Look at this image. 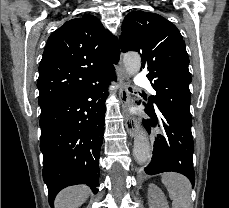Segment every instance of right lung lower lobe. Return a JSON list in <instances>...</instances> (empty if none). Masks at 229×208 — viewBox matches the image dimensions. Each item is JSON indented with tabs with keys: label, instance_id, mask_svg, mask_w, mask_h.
Segmentation results:
<instances>
[{
	"label": "right lung lower lobe",
	"instance_id": "right-lung-lower-lobe-1",
	"mask_svg": "<svg viewBox=\"0 0 229 208\" xmlns=\"http://www.w3.org/2000/svg\"><path fill=\"white\" fill-rule=\"evenodd\" d=\"M114 72L59 101L40 115L43 179L49 203L75 184L99 185V152L104 135L105 100Z\"/></svg>",
	"mask_w": 229,
	"mask_h": 208
}]
</instances>
